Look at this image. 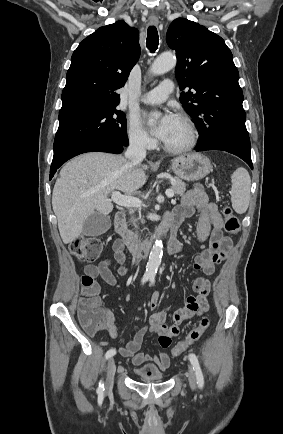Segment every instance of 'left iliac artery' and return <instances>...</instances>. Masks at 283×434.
I'll use <instances>...</instances> for the list:
<instances>
[{
  "mask_svg": "<svg viewBox=\"0 0 283 434\" xmlns=\"http://www.w3.org/2000/svg\"><path fill=\"white\" fill-rule=\"evenodd\" d=\"M150 282L153 285L155 283V278L151 277ZM189 360H190V362L193 366V369L195 371L197 384L200 388H202L204 386V377H203V373H202V370H201L200 365H199L198 358L194 353H191V354H189Z\"/></svg>",
  "mask_w": 283,
  "mask_h": 434,
  "instance_id": "44dca946",
  "label": "left iliac artery"
}]
</instances>
